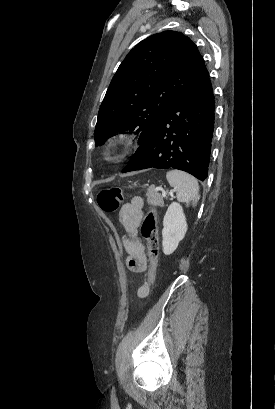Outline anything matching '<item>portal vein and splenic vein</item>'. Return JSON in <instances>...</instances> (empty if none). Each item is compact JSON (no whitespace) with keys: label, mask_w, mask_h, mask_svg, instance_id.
I'll return each instance as SVG.
<instances>
[{"label":"portal vein and splenic vein","mask_w":275,"mask_h":409,"mask_svg":"<svg viewBox=\"0 0 275 409\" xmlns=\"http://www.w3.org/2000/svg\"><path fill=\"white\" fill-rule=\"evenodd\" d=\"M156 190H162L163 196H166L167 192H165L164 188L162 186H157Z\"/></svg>","instance_id":"18ae733b"}]
</instances>
